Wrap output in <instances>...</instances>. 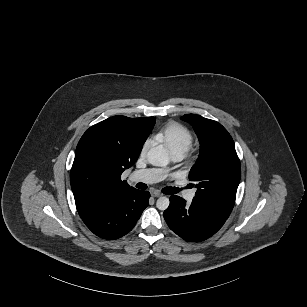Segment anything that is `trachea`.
<instances>
[{
    "mask_svg": "<svg viewBox=\"0 0 307 307\" xmlns=\"http://www.w3.org/2000/svg\"><path fill=\"white\" fill-rule=\"evenodd\" d=\"M138 188H141V189H146V185L145 184H143V183H137V185H136ZM140 186H142V187H140ZM163 193H165V194H174V193H178V192H180V191H182V189L180 188L179 189V191H178V189H176L175 187H166V188H164L163 190Z\"/></svg>",
    "mask_w": 307,
    "mask_h": 307,
    "instance_id": "3493384b",
    "label": "trachea"
}]
</instances>
